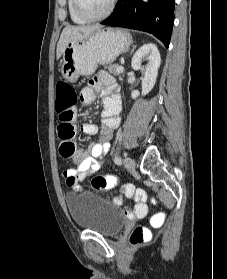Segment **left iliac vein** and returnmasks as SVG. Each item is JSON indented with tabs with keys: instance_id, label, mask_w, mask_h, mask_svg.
<instances>
[{
	"instance_id": "4c4485c4",
	"label": "left iliac vein",
	"mask_w": 227,
	"mask_h": 279,
	"mask_svg": "<svg viewBox=\"0 0 227 279\" xmlns=\"http://www.w3.org/2000/svg\"><path fill=\"white\" fill-rule=\"evenodd\" d=\"M123 163L128 170H133L135 168V161L129 156L124 158Z\"/></svg>"
}]
</instances>
